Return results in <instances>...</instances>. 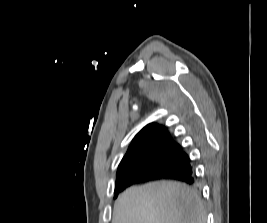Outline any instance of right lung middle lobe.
Segmentation results:
<instances>
[{
  "mask_svg": "<svg viewBox=\"0 0 267 223\" xmlns=\"http://www.w3.org/2000/svg\"><path fill=\"white\" fill-rule=\"evenodd\" d=\"M186 153L182 149H165L158 152L154 157L145 161L132 162L125 167V174L135 171L169 172L184 157Z\"/></svg>",
  "mask_w": 267,
  "mask_h": 223,
  "instance_id": "obj_1",
  "label": "right lung middle lobe"
}]
</instances>
